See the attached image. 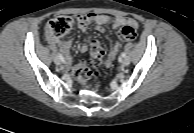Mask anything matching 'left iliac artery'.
Segmentation results:
<instances>
[{
	"instance_id": "left-iliac-artery-1",
	"label": "left iliac artery",
	"mask_w": 194,
	"mask_h": 133,
	"mask_svg": "<svg viewBox=\"0 0 194 133\" xmlns=\"http://www.w3.org/2000/svg\"><path fill=\"white\" fill-rule=\"evenodd\" d=\"M121 57H122V58H125V57H126V53L123 52V53L121 54Z\"/></svg>"
}]
</instances>
